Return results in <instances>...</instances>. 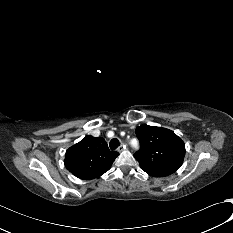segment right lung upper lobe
I'll use <instances>...</instances> for the list:
<instances>
[{
    "instance_id": "obj_1",
    "label": "right lung upper lobe",
    "mask_w": 233,
    "mask_h": 233,
    "mask_svg": "<svg viewBox=\"0 0 233 233\" xmlns=\"http://www.w3.org/2000/svg\"><path fill=\"white\" fill-rule=\"evenodd\" d=\"M118 155L102 137L85 136L67 150L64 163L76 177L91 180L107 172Z\"/></svg>"
}]
</instances>
